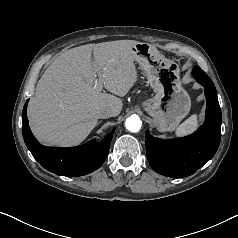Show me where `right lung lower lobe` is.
<instances>
[{
  "label": "right lung lower lobe",
  "mask_w": 238,
  "mask_h": 238,
  "mask_svg": "<svg viewBox=\"0 0 238 238\" xmlns=\"http://www.w3.org/2000/svg\"><path fill=\"white\" fill-rule=\"evenodd\" d=\"M26 101L22 112V132L25 144L42 167L57 175L78 177L98 169L108 155L114 130L97 143L95 140L72 148L41 145L33 136L27 119Z\"/></svg>",
  "instance_id": "98d812e1"
}]
</instances>
